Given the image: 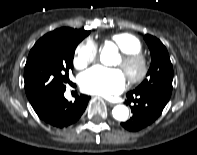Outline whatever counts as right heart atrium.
<instances>
[{
  "label": "right heart atrium",
  "instance_id": "obj_1",
  "mask_svg": "<svg viewBox=\"0 0 197 155\" xmlns=\"http://www.w3.org/2000/svg\"><path fill=\"white\" fill-rule=\"evenodd\" d=\"M98 57V47L92 41L80 43L76 50L73 59V64L77 69H84L88 65L96 61Z\"/></svg>",
  "mask_w": 197,
  "mask_h": 155
}]
</instances>
